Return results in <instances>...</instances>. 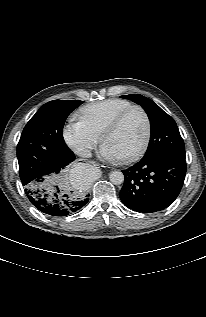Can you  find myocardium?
Returning <instances> with one entry per match:
<instances>
[{"instance_id":"obj_1","label":"myocardium","mask_w":206,"mask_h":317,"mask_svg":"<svg viewBox=\"0 0 206 317\" xmlns=\"http://www.w3.org/2000/svg\"><path fill=\"white\" fill-rule=\"evenodd\" d=\"M135 110H138L139 112H141V114L144 117V121H145L144 138H143L141 144L139 145V147L137 149H135L130 154L125 155V156L120 158L123 161H131V160H134V159L138 158L139 156H141L145 152V150L148 147V144H149L150 138H151L152 124H151L150 116H149L148 112L146 111V109L144 107L140 106V105H132V106L128 107L127 109L123 110L118 115H116L108 123V125L105 127V129L103 130V132L100 135V140H101L102 143H104L106 137L108 135H110L111 133H113L121 125L123 120L132 111H135Z\"/></svg>"}]
</instances>
